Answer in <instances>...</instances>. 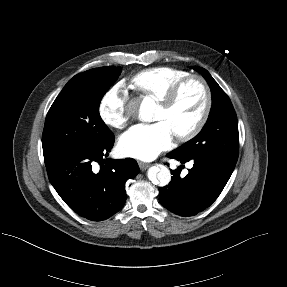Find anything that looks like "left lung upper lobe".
<instances>
[{
    "label": "left lung upper lobe",
    "instance_id": "obj_1",
    "mask_svg": "<svg viewBox=\"0 0 287 287\" xmlns=\"http://www.w3.org/2000/svg\"><path fill=\"white\" fill-rule=\"evenodd\" d=\"M193 69L201 73L208 82L212 93V107L201 132L174 151L180 154L206 153L236 164L239 133L232 103L206 69L197 66Z\"/></svg>",
    "mask_w": 287,
    "mask_h": 287
}]
</instances>
